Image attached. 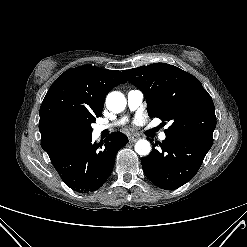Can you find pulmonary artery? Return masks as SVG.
<instances>
[{
    "label": "pulmonary artery",
    "mask_w": 247,
    "mask_h": 247,
    "mask_svg": "<svg viewBox=\"0 0 247 247\" xmlns=\"http://www.w3.org/2000/svg\"><path fill=\"white\" fill-rule=\"evenodd\" d=\"M143 100H144V94L142 93V91H140L138 89L130 90L127 93V104H128V107H129L130 111H135L138 108H140L142 106V104H143ZM123 121H124V119H122L120 121H117V122H115L113 124L96 125L95 126V131L97 133H100L103 130H106V129H109V128L113 127L114 125L122 123ZM159 139L161 141L165 140L166 139V134L164 132H161L159 134Z\"/></svg>",
    "instance_id": "pulmonary-artery-1"
}]
</instances>
